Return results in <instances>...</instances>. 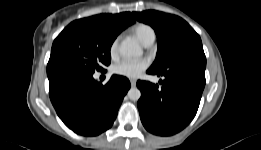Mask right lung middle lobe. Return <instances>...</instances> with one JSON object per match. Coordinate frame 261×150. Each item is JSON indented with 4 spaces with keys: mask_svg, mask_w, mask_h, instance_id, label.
<instances>
[{
    "mask_svg": "<svg viewBox=\"0 0 261 150\" xmlns=\"http://www.w3.org/2000/svg\"><path fill=\"white\" fill-rule=\"evenodd\" d=\"M118 33L97 23L74 21L54 40L47 76L93 74L111 61L110 48Z\"/></svg>",
    "mask_w": 261,
    "mask_h": 150,
    "instance_id": "obj_1",
    "label": "right lung middle lobe"
}]
</instances>
